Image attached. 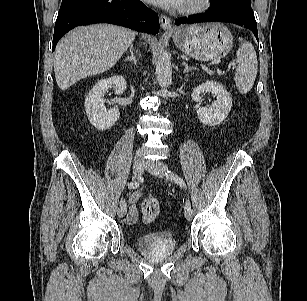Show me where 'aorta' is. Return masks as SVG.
Masks as SVG:
<instances>
[{
    "label": "aorta",
    "mask_w": 307,
    "mask_h": 301,
    "mask_svg": "<svg viewBox=\"0 0 307 301\" xmlns=\"http://www.w3.org/2000/svg\"><path fill=\"white\" fill-rule=\"evenodd\" d=\"M156 77L162 89H166L172 82L171 59L165 51H161L157 58Z\"/></svg>",
    "instance_id": "obj_1"
}]
</instances>
